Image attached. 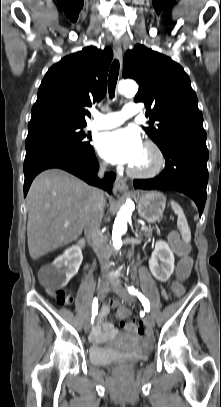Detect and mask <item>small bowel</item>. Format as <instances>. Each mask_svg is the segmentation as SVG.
<instances>
[{"instance_id":"c3829d8e","label":"small bowel","mask_w":221,"mask_h":407,"mask_svg":"<svg viewBox=\"0 0 221 407\" xmlns=\"http://www.w3.org/2000/svg\"><path fill=\"white\" fill-rule=\"evenodd\" d=\"M163 296H164V298H166L165 292H163ZM119 305L120 304L118 301H112L109 305H103L101 307L99 317H98V324L95 327L94 334L91 336V340L94 343L100 344V343L106 342L107 340L118 335V333H119L118 328L113 323L107 321L106 318H107L111 308H117ZM130 313H131V311H130ZM138 326H142V325H138ZM125 330H126V332H132V330H127V329H125ZM139 336H137V337H139Z\"/></svg>"}]
</instances>
